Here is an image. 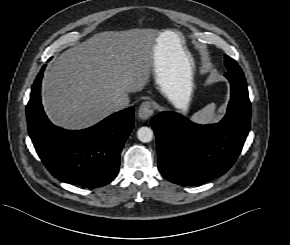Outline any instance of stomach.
Instances as JSON below:
<instances>
[{
    "instance_id": "1",
    "label": "stomach",
    "mask_w": 290,
    "mask_h": 245,
    "mask_svg": "<svg viewBox=\"0 0 290 245\" xmlns=\"http://www.w3.org/2000/svg\"><path fill=\"white\" fill-rule=\"evenodd\" d=\"M153 76L155 83L159 90L170 100L173 102L171 96L168 94V90L166 87V76L165 71L160 64L158 57L155 59V65L153 69ZM193 91V83L191 85L187 86L185 84L180 85L178 90V98L176 102H173L176 108L180 109L182 112H186L188 109V104L191 99V94Z\"/></svg>"
}]
</instances>
